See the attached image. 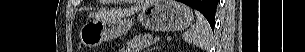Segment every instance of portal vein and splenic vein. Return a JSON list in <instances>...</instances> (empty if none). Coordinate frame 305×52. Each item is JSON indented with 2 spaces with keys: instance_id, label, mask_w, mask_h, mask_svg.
Returning <instances> with one entry per match:
<instances>
[{
  "instance_id": "1",
  "label": "portal vein and splenic vein",
  "mask_w": 305,
  "mask_h": 52,
  "mask_svg": "<svg viewBox=\"0 0 305 52\" xmlns=\"http://www.w3.org/2000/svg\"><path fill=\"white\" fill-rule=\"evenodd\" d=\"M159 39L156 37V38H154V41H158Z\"/></svg>"
}]
</instances>
